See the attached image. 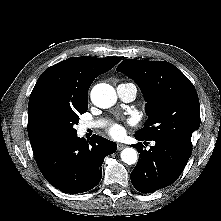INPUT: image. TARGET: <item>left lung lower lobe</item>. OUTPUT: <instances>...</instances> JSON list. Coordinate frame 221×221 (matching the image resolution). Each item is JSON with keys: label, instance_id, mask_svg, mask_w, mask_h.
Masks as SVG:
<instances>
[{"label": "left lung lower lobe", "instance_id": "left-lung-lower-lobe-1", "mask_svg": "<svg viewBox=\"0 0 221 221\" xmlns=\"http://www.w3.org/2000/svg\"><path fill=\"white\" fill-rule=\"evenodd\" d=\"M139 141H152L136 136ZM155 146L148 151L143 150L141 142L135 144L139 160L131 172V182L136 190L142 193H152L175 182L184 170L192 150L165 140L153 139Z\"/></svg>", "mask_w": 221, "mask_h": 221}]
</instances>
